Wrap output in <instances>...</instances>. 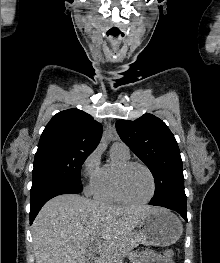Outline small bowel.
Returning a JSON list of instances; mask_svg holds the SVG:
<instances>
[{
	"mask_svg": "<svg viewBox=\"0 0 220 263\" xmlns=\"http://www.w3.org/2000/svg\"><path fill=\"white\" fill-rule=\"evenodd\" d=\"M139 263H173V262L167 260L163 256L147 253L141 257Z\"/></svg>",
	"mask_w": 220,
	"mask_h": 263,
	"instance_id": "c3829d8e",
	"label": "small bowel"
}]
</instances>
